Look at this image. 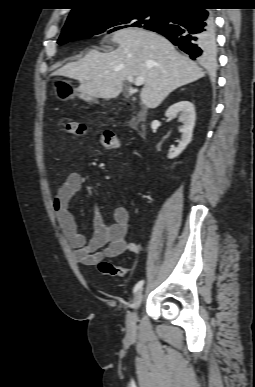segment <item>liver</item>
<instances>
[{"mask_svg": "<svg viewBox=\"0 0 255 387\" xmlns=\"http://www.w3.org/2000/svg\"><path fill=\"white\" fill-rule=\"evenodd\" d=\"M118 44L114 51L90 50L82 59L61 67L56 75L78 80L75 90L93 98H116L128 77H143L142 103L154 109L177 88L204 77L203 70L180 54L162 35L127 28L111 38Z\"/></svg>", "mask_w": 255, "mask_h": 387, "instance_id": "1", "label": "liver"}]
</instances>
